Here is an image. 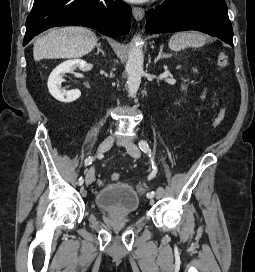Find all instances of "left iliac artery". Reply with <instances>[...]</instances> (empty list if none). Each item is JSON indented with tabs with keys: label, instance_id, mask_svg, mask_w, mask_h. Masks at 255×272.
<instances>
[{
	"label": "left iliac artery",
	"instance_id": "44dca946",
	"mask_svg": "<svg viewBox=\"0 0 255 272\" xmlns=\"http://www.w3.org/2000/svg\"><path fill=\"white\" fill-rule=\"evenodd\" d=\"M138 145H139V148L144 153L148 154L151 157V150H150L149 145H148V143L146 141L141 140ZM152 168H153V171L149 173V178H154L156 176V173H157V167L155 165H153ZM154 195H155L154 192L147 193L148 198H152V197H154Z\"/></svg>",
	"mask_w": 255,
	"mask_h": 272
}]
</instances>
